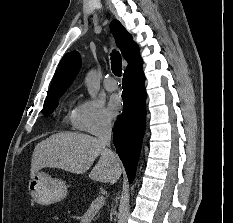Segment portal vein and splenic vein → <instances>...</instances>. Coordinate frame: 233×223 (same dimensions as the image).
<instances>
[{"instance_id":"obj_1","label":"portal vein and splenic vein","mask_w":233,"mask_h":223,"mask_svg":"<svg viewBox=\"0 0 233 223\" xmlns=\"http://www.w3.org/2000/svg\"><path fill=\"white\" fill-rule=\"evenodd\" d=\"M105 201L104 195H98L94 201H92V205H99V207H102L103 203Z\"/></svg>"}]
</instances>
